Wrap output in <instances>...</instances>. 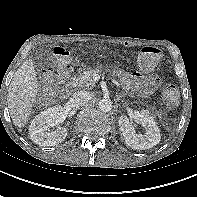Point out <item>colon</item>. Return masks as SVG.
I'll return each instance as SVG.
<instances>
[{
  "instance_id": "colon-1",
  "label": "colon",
  "mask_w": 197,
  "mask_h": 197,
  "mask_svg": "<svg viewBox=\"0 0 197 197\" xmlns=\"http://www.w3.org/2000/svg\"><path fill=\"white\" fill-rule=\"evenodd\" d=\"M161 51L154 46H145L141 49L138 56V63L142 70L149 71L156 67L161 61ZM54 68L43 76V85L48 92L51 86L65 79L70 70V53L63 48L54 50ZM162 96L168 108H174L179 101V93L175 86L166 84L163 87Z\"/></svg>"
}]
</instances>
